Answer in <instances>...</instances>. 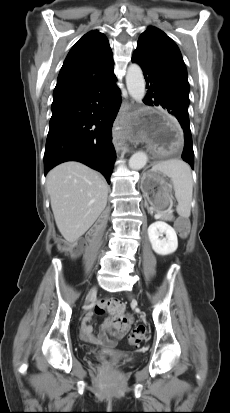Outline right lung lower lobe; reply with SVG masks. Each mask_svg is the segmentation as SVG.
Returning <instances> with one entry per match:
<instances>
[{"instance_id": "obj_1", "label": "right lung lower lobe", "mask_w": 230, "mask_h": 413, "mask_svg": "<svg viewBox=\"0 0 230 413\" xmlns=\"http://www.w3.org/2000/svg\"><path fill=\"white\" fill-rule=\"evenodd\" d=\"M111 75L85 90L54 97L44 154V173L65 161L101 172L108 183L115 162L111 128L121 100Z\"/></svg>"}]
</instances>
